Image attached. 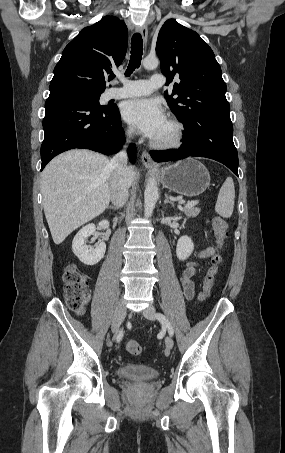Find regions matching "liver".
Instances as JSON below:
<instances>
[{
    "label": "liver",
    "instance_id": "liver-1",
    "mask_svg": "<svg viewBox=\"0 0 285 453\" xmlns=\"http://www.w3.org/2000/svg\"><path fill=\"white\" fill-rule=\"evenodd\" d=\"M109 158L75 149L55 157L41 173L46 220L55 244H61L78 227L100 215L111 198L113 170ZM137 172L129 167L132 183Z\"/></svg>",
    "mask_w": 285,
    "mask_h": 453
}]
</instances>
